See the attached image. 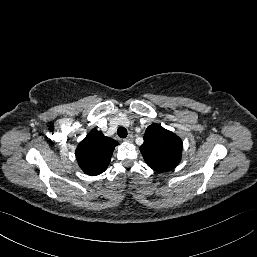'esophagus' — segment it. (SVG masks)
<instances>
[{"label": "esophagus", "instance_id": "1", "mask_svg": "<svg viewBox=\"0 0 257 257\" xmlns=\"http://www.w3.org/2000/svg\"><path fill=\"white\" fill-rule=\"evenodd\" d=\"M133 140H134L133 135H129L127 138L124 139L125 142H129V143L133 142Z\"/></svg>", "mask_w": 257, "mask_h": 257}]
</instances>
